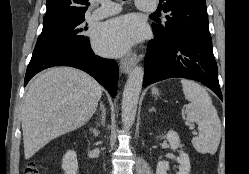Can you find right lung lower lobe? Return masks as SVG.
<instances>
[{
  "label": "right lung lower lobe",
  "instance_id": "obj_1",
  "mask_svg": "<svg viewBox=\"0 0 249 174\" xmlns=\"http://www.w3.org/2000/svg\"><path fill=\"white\" fill-rule=\"evenodd\" d=\"M53 66H71L81 69L94 77L111 96L116 95L117 63L112 59L95 55L90 44L56 46L34 51L27 67L24 86L35 74Z\"/></svg>",
  "mask_w": 249,
  "mask_h": 174
}]
</instances>
